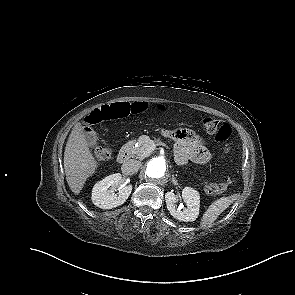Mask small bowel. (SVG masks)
Wrapping results in <instances>:
<instances>
[{"instance_id": "1", "label": "small bowel", "mask_w": 295, "mask_h": 295, "mask_svg": "<svg viewBox=\"0 0 295 295\" xmlns=\"http://www.w3.org/2000/svg\"><path fill=\"white\" fill-rule=\"evenodd\" d=\"M176 145L174 148L175 160L178 165H185L189 161L197 164H205L210 161L212 154L202 139L190 130L167 131Z\"/></svg>"}]
</instances>
